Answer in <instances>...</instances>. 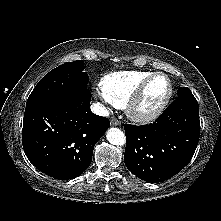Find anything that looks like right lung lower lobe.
<instances>
[{
    "instance_id": "obj_1",
    "label": "right lung lower lobe",
    "mask_w": 221,
    "mask_h": 221,
    "mask_svg": "<svg viewBox=\"0 0 221 221\" xmlns=\"http://www.w3.org/2000/svg\"><path fill=\"white\" fill-rule=\"evenodd\" d=\"M87 89L70 99L27 105L22 144L30 162L61 180L79 176L91 163L93 148L110 121L90 110Z\"/></svg>"
}]
</instances>
